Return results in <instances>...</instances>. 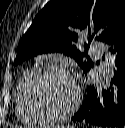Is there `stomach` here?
I'll return each instance as SVG.
<instances>
[{
  "label": "stomach",
  "instance_id": "0dacf381",
  "mask_svg": "<svg viewBox=\"0 0 125 128\" xmlns=\"http://www.w3.org/2000/svg\"><path fill=\"white\" fill-rule=\"evenodd\" d=\"M61 128H71V127H61Z\"/></svg>",
  "mask_w": 125,
  "mask_h": 128
}]
</instances>
